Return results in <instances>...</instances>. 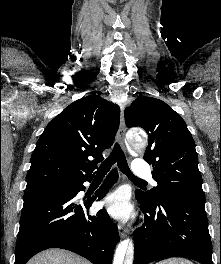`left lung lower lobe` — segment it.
<instances>
[{
    "label": "left lung lower lobe",
    "mask_w": 221,
    "mask_h": 264,
    "mask_svg": "<svg viewBox=\"0 0 221 264\" xmlns=\"http://www.w3.org/2000/svg\"><path fill=\"white\" fill-rule=\"evenodd\" d=\"M145 223L134 232V264L185 257L213 264L205 202L173 196L146 200L136 194Z\"/></svg>",
    "instance_id": "0a47b994"
}]
</instances>
